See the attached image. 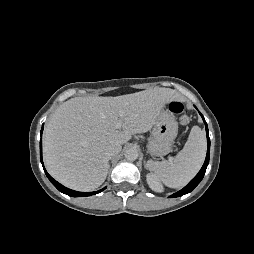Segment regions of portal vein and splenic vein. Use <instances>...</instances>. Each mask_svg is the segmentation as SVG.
<instances>
[{
  "label": "portal vein and splenic vein",
  "mask_w": 254,
  "mask_h": 254,
  "mask_svg": "<svg viewBox=\"0 0 254 254\" xmlns=\"http://www.w3.org/2000/svg\"><path fill=\"white\" fill-rule=\"evenodd\" d=\"M124 115H125L124 111H119V117H120V119H119V121L115 125L116 129L121 128L122 123H123L122 119H123Z\"/></svg>",
  "instance_id": "1"
}]
</instances>
